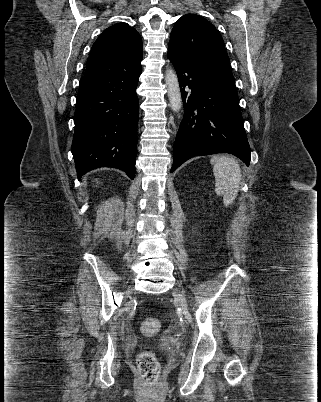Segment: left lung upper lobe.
Instances as JSON below:
<instances>
[{"mask_svg": "<svg viewBox=\"0 0 321 402\" xmlns=\"http://www.w3.org/2000/svg\"><path fill=\"white\" fill-rule=\"evenodd\" d=\"M168 50L190 63L231 71L220 33L201 16L187 14L175 23Z\"/></svg>", "mask_w": 321, "mask_h": 402, "instance_id": "left-lung-upper-lobe-1", "label": "left lung upper lobe"}]
</instances>
